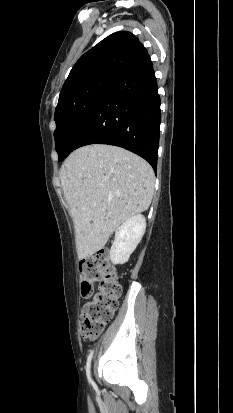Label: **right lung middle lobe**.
I'll use <instances>...</instances> for the list:
<instances>
[{
	"instance_id": "1",
	"label": "right lung middle lobe",
	"mask_w": 233,
	"mask_h": 413,
	"mask_svg": "<svg viewBox=\"0 0 233 413\" xmlns=\"http://www.w3.org/2000/svg\"><path fill=\"white\" fill-rule=\"evenodd\" d=\"M115 80V77L96 78L59 97L54 132L59 161L66 156L82 126Z\"/></svg>"
}]
</instances>
